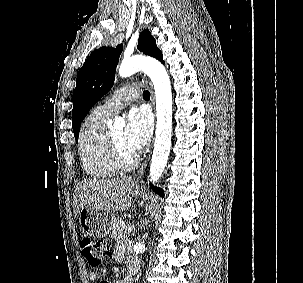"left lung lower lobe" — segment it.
<instances>
[{"mask_svg": "<svg viewBox=\"0 0 303 283\" xmlns=\"http://www.w3.org/2000/svg\"><path fill=\"white\" fill-rule=\"evenodd\" d=\"M150 186H151V188L157 193V194H159L160 196H164V193H163V190L162 189H160V188H157V187H153V185L152 184H150Z\"/></svg>", "mask_w": 303, "mask_h": 283, "instance_id": "left-lung-lower-lobe-1", "label": "left lung lower lobe"}]
</instances>
